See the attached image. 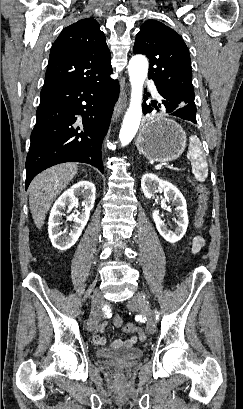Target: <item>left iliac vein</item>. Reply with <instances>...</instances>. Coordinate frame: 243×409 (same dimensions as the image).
<instances>
[{
    "instance_id": "4c4485c4",
    "label": "left iliac vein",
    "mask_w": 243,
    "mask_h": 409,
    "mask_svg": "<svg viewBox=\"0 0 243 409\" xmlns=\"http://www.w3.org/2000/svg\"><path fill=\"white\" fill-rule=\"evenodd\" d=\"M130 308H138L148 318L147 331L153 334L156 331L155 314L151 308L146 305L140 297L133 298L128 302Z\"/></svg>"
}]
</instances>
